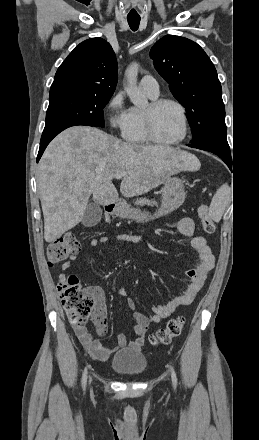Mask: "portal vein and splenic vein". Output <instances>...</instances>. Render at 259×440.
I'll return each mask as SVG.
<instances>
[{"mask_svg": "<svg viewBox=\"0 0 259 440\" xmlns=\"http://www.w3.org/2000/svg\"><path fill=\"white\" fill-rule=\"evenodd\" d=\"M123 176H124V173H123V172H117V173L114 175V177H115L116 179H122Z\"/></svg>", "mask_w": 259, "mask_h": 440, "instance_id": "18ae733b", "label": "portal vein and splenic vein"}]
</instances>
